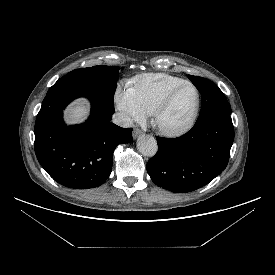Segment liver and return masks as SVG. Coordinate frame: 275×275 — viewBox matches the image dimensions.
Masks as SVG:
<instances>
[{
    "label": "liver",
    "mask_w": 275,
    "mask_h": 275,
    "mask_svg": "<svg viewBox=\"0 0 275 275\" xmlns=\"http://www.w3.org/2000/svg\"><path fill=\"white\" fill-rule=\"evenodd\" d=\"M89 112L88 106L84 102H78L76 105L70 107L67 111V121L69 123H78L83 121Z\"/></svg>",
    "instance_id": "obj_1"
}]
</instances>
